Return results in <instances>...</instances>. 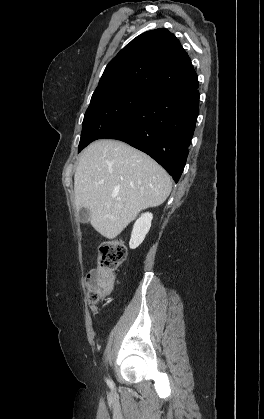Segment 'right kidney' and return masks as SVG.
<instances>
[{"instance_id":"ca27d5eb","label":"right kidney","mask_w":264,"mask_h":419,"mask_svg":"<svg viewBox=\"0 0 264 419\" xmlns=\"http://www.w3.org/2000/svg\"><path fill=\"white\" fill-rule=\"evenodd\" d=\"M153 215L149 212L142 214L135 222L131 234L129 246L131 249L137 248L145 239L151 227Z\"/></svg>"}]
</instances>
